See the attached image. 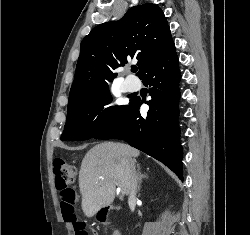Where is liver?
I'll list each match as a JSON object with an SVG mask.
<instances>
[{"mask_svg":"<svg viewBox=\"0 0 250 235\" xmlns=\"http://www.w3.org/2000/svg\"><path fill=\"white\" fill-rule=\"evenodd\" d=\"M139 155L135 148L113 142L98 144L87 152L79 172L82 209L87 217L114 201L116 186L130 193V170Z\"/></svg>","mask_w":250,"mask_h":235,"instance_id":"obj_1","label":"liver"}]
</instances>
